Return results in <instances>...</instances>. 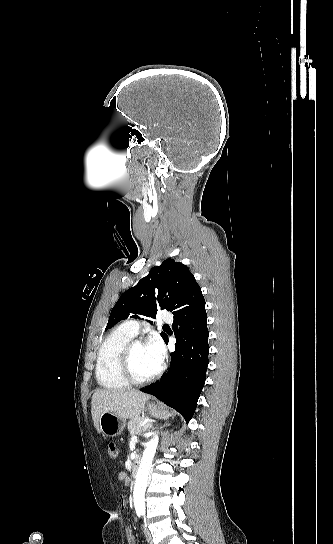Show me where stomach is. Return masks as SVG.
Returning a JSON list of instances; mask_svg holds the SVG:
<instances>
[{
  "label": "stomach",
  "mask_w": 333,
  "mask_h": 544,
  "mask_svg": "<svg viewBox=\"0 0 333 544\" xmlns=\"http://www.w3.org/2000/svg\"><path fill=\"white\" fill-rule=\"evenodd\" d=\"M147 409L153 416H162L165 413V409L163 407L155 404H149ZM124 426L125 423L123 419L119 418L112 412H104L99 420V430L104 436L107 437L120 435Z\"/></svg>",
  "instance_id": "obj_1"
}]
</instances>
